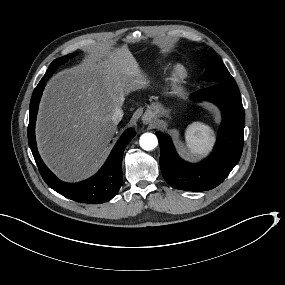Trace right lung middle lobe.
<instances>
[{"mask_svg":"<svg viewBox=\"0 0 285 285\" xmlns=\"http://www.w3.org/2000/svg\"><path fill=\"white\" fill-rule=\"evenodd\" d=\"M76 53H72L63 57H60L56 60H54L51 65L49 66L46 74L43 76V78L41 79V82H45L47 81L50 76L55 72V70L64 62H66L68 59L72 58L73 56H75Z\"/></svg>","mask_w":285,"mask_h":285,"instance_id":"obj_1","label":"right lung middle lobe"}]
</instances>
